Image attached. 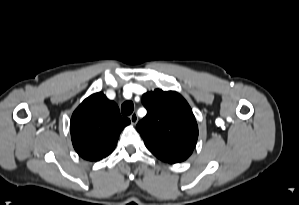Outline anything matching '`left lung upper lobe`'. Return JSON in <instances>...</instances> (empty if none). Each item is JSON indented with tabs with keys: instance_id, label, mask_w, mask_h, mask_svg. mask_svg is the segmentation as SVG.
Listing matches in <instances>:
<instances>
[{
	"instance_id": "1",
	"label": "left lung upper lobe",
	"mask_w": 299,
	"mask_h": 205,
	"mask_svg": "<svg viewBox=\"0 0 299 205\" xmlns=\"http://www.w3.org/2000/svg\"><path fill=\"white\" fill-rule=\"evenodd\" d=\"M147 115L137 124L148 150L194 149L198 126L186 100L175 91L156 89L142 96Z\"/></svg>"
}]
</instances>
